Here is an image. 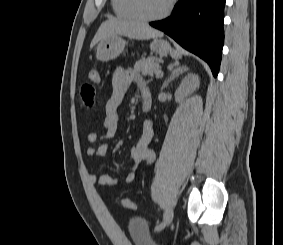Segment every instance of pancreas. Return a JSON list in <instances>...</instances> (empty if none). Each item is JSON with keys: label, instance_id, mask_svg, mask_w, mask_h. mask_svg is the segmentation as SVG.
<instances>
[{"label": "pancreas", "instance_id": "obj_1", "mask_svg": "<svg viewBox=\"0 0 283 245\" xmlns=\"http://www.w3.org/2000/svg\"><path fill=\"white\" fill-rule=\"evenodd\" d=\"M156 57H148V58H142L138 60L134 65V70L136 72L142 73L143 75L149 74L153 75L156 74V77L159 78L161 76V73H159L160 66L156 62Z\"/></svg>", "mask_w": 283, "mask_h": 245}]
</instances>
